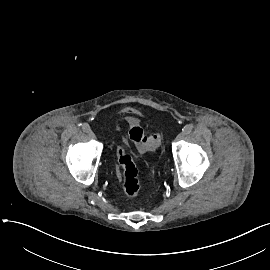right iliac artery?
Instances as JSON below:
<instances>
[{"label": "right iliac artery", "instance_id": "1", "mask_svg": "<svg viewBox=\"0 0 270 270\" xmlns=\"http://www.w3.org/2000/svg\"><path fill=\"white\" fill-rule=\"evenodd\" d=\"M82 130H83L84 132H89V131H90V126H89L87 123H84V124L82 125Z\"/></svg>", "mask_w": 270, "mask_h": 270}]
</instances>
